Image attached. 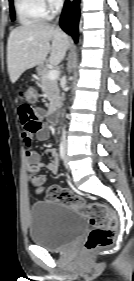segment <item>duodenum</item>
Listing matches in <instances>:
<instances>
[{
  "label": "duodenum",
  "instance_id": "duodenum-1",
  "mask_svg": "<svg viewBox=\"0 0 134 281\" xmlns=\"http://www.w3.org/2000/svg\"><path fill=\"white\" fill-rule=\"evenodd\" d=\"M58 121V110L56 107H53L49 113V122L51 124H56Z\"/></svg>",
  "mask_w": 134,
  "mask_h": 281
}]
</instances>
